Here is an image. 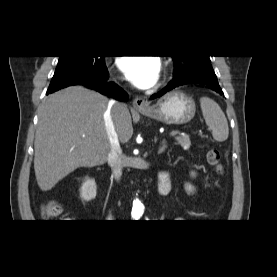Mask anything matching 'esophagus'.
I'll return each mask as SVG.
<instances>
[{"label":"esophagus","instance_id":"34e87169","mask_svg":"<svg viewBox=\"0 0 277 277\" xmlns=\"http://www.w3.org/2000/svg\"><path fill=\"white\" fill-rule=\"evenodd\" d=\"M133 107L139 111L146 110L148 108V102L143 97H136L133 100Z\"/></svg>","mask_w":277,"mask_h":277}]
</instances>
